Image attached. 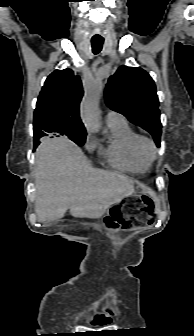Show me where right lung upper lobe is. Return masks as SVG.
<instances>
[{
    "label": "right lung upper lobe",
    "mask_w": 194,
    "mask_h": 336,
    "mask_svg": "<svg viewBox=\"0 0 194 336\" xmlns=\"http://www.w3.org/2000/svg\"><path fill=\"white\" fill-rule=\"evenodd\" d=\"M82 96L80 77L71 69L55 70L48 76L34 112V147L44 136L86 134L79 116Z\"/></svg>",
    "instance_id": "right-lung-upper-lobe-1"
}]
</instances>
